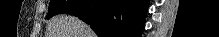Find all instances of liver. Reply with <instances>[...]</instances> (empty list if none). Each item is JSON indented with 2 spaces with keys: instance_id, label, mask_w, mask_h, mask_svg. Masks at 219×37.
<instances>
[{
  "instance_id": "1",
  "label": "liver",
  "mask_w": 219,
  "mask_h": 37,
  "mask_svg": "<svg viewBox=\"0 0 219 37\" xmlns=\"http://www.w3.org/2000/svg\"><path fill=\"white\" fill-rule=\"evenodd\" d=\"M46 37H96L91 28L71 15H57L48 24Z\"/></svg>"
}]
</instances>
